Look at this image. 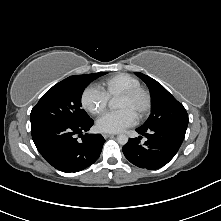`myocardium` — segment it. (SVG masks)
<instances>
[{
    "label": "myocardium",
    "instance_id": "f54148a6",
    "mask_svg": "<svg viewBox=\"0 0 221 221\" xmlns=\"http://www.w3.org/2000/svg\"><path fill=\"white\" fill-rule=\"evenodd\" d=\"M143 96L144 99H145V103H144V106L143 108L139 111V113L137 114L136 118L138 120H141L143 119L144 117H146L149 112L151 111V108H152V96L150 94V92L139 86V87H135V88H132V89H129L123 93H121L118 98H123V99H133L137 96Z\"/></svg>",
    "mask_w": 221,
    "mask_h": 221
}]
</instances>
